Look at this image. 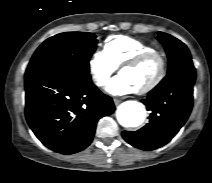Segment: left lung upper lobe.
Masks as SVG:
<instances>
[{
	"mask_svg": "<svg viewBox=\"0 0 212 183\" xmlns=\"http://www.w3.org/2000/svg\"><path fill=\"white\" fill-rule=\"evenodd\" d=\"M157 39L163 44L166 50L169 60L168 71L186 60H191L188 48L180 40L163 32H159Z\"/></svg>",
	"mask_w": 212,
	"mask_h": 183,
	"instance_id": "obj_1",
	"label": "left lung upper lobe"
}]
</instances>
